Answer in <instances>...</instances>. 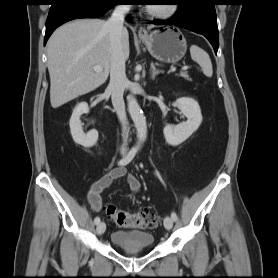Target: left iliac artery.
I'll use <instances>...</instances> for the list:
<instances>
[{
    "label": "left iliac artery",
    "mask_w": 278,
    "mask_h": 278,
    "mask_svg": "<svg viewBox=\"0 0 278 278\" xmlns=\"http://www.w3.org/2000/svg\"><path fill=\"white\" fill-rule=\"evenodd\" d=\"M171 218L173 219V221H176L177 220V214L175 212H172Z\"/></svg>",
    "instance_id": "obj_1"
}]
</instances>
